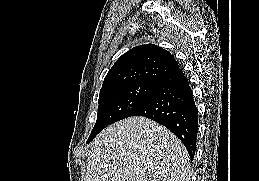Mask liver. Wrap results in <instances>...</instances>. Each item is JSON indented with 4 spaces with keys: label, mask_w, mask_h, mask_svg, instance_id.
<instances>
[{
    "label": "liver",
    "mask_w": 259,
    "mask_h": 181,
    "mask_svg": "<svg viewBox=\"0 0 259 181\" xmlns=\"http://www.w3.org/2000/svg\"><path fill=\"white\" fill-rule=\"evenodd\" d=\"M189 162L172 132L134 116L107 127L91 143L86 181H190Z\"/></svg>",
    "instance_id": "obj_1"
}]
</instances>
